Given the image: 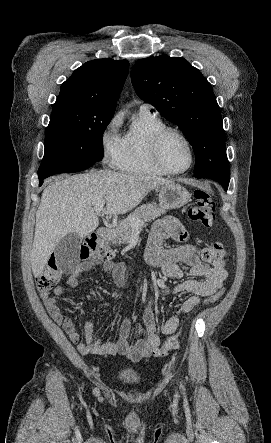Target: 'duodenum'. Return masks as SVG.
I'll list each match as a JSON object with an SVG mask.
<instances>
[{
  "mask_svg": "<svg viewBox=\"0 0 271 443\" xmlns=\"http://www.w3.org/2000/svg\"><path fill=\"white\" fill-rule=\"evenodd\" d=\"M97 236L104 241L111 240L113 238V232L107 228H101L97 232Z\"/></svg>",
  "mask_w": 271,
  "mask_h": 443,
  "instance_id": "410a0bca",
  "label": "duodenum"
}]
</instances>
